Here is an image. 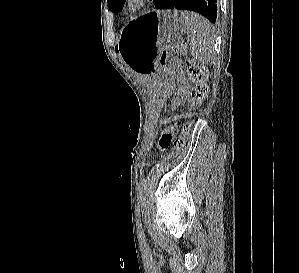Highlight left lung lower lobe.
I'll return each mask as SVG.
<instances>
[{"label": "left lung lower lobe", "instance_id": "left-lung-lower-lobe-1", "mask_svg": "<svg viewBox=\"0 0 299 273\" xmlns=\"http://www.w3.org/2000/svg\"><path fill=\"white\" fill-rule=\"evenodd\" d=\"M157 9H182L200 13L211 23L217 20V0H154Z\"/></svg>", "mask_w": 299, "mask_h": 273}]
</instances>
